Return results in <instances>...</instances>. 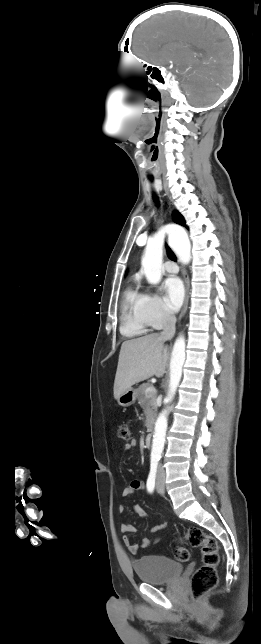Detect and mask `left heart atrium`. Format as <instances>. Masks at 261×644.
Returning a JSON list of instances; mask_svg holds the SVG:
<instances>
[{"label":"left heart atrium","instance_id":"39dd6f15","mask_svg":"<svg viewBox=\"0 0 261 644\" xmlns=\"http://www.w3.org/2000/svg\"><path fill=\"white\" fill-rule=\"evenodd\" d=\"M184 299V286L178 277H170L165 282V305L170 312L179 310Z\"/></svg>","mask_w":261,"mask_h":644}]
</instances>
